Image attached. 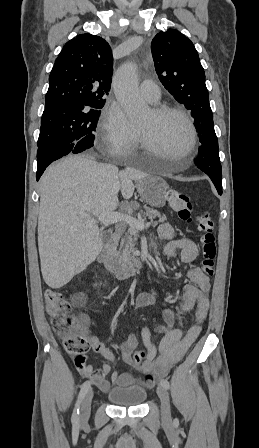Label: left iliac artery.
<instances>
[{"instance_id": "44dca946", "label": "left iliac artery", "mask_w": 259, "mask_h": 448, "mask_svg": "<svg viewBox=\"0 0 259 448\" xmlns=\"http://www.w3.org/2000/svg\"><path fill=\"white\" fill-rule=\"evenodd\" d=\"M160 384L165 388V389H169L170 388V383L166 380V379H161ZM178 420L175 419V423H177Z\"/></svg>"}]
</instances>
